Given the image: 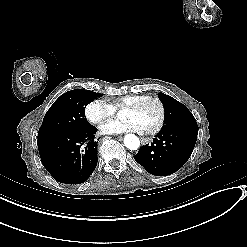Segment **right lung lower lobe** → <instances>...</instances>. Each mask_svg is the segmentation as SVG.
<instances>
[{"mask_svg":"<svg viewBox=\"0 0 247 247\" xmlns=\"http://www.w3.org/2000/svg\"><path fill=\"white\" fill-rule=\"evenodd\" d=\"M97 129L89 125L81 130L57 131L38 137L43 166L61 183L85 182L97 165Z\"/></svg>","mask_w":247,"mask_h":247,"instance_id":"1","label":"right lung lower lobe"}]
</instances>
